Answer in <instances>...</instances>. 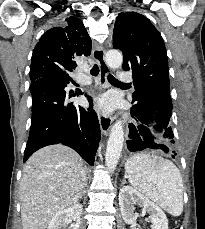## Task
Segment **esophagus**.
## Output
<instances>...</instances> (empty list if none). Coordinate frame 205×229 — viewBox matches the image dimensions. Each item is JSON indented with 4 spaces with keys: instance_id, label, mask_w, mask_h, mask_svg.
I'll use <instances>...</instances> for the list:
<instances>
[{
    "instance_id": "obj_1",
    "label": "esophagus",
    "mask_w": 205,
    "mask_h": 229,
    "mask_svg": "<svg viewBox=\"0 0 205 229\" xmlns=\"http://www.w3.org/2000/svg\"><path fill=\"white\" fill-rule=\"evenodd\" d=\"M93 57L99 65V84L100 89H104L107 86V76L109 74V67L105 62V50L102 46L95 45L93 48ZM98 119L100 128L103 134L107 135L111 128L112 118L111 116L105 114L104 112L98 113Z\"/></svg>"
}]
</instances>
